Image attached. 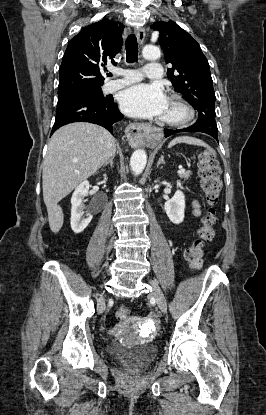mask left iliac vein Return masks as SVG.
I'll return each instance as SVG.
<instances>
[{"label":"left iliac vein","mask_w":266,"mask_h":415,"mask_svg":"<svg viewBox=\"0 0 266 415\" xmlns=\"http://www.w3.org/2000/svg\"><path fill=\"white\" fill-rule=\"evenodd\" d=\"M150 285L152 286V291H151V296L155 299L158 308L160 309L161 312L166 313L167 312V302L165 299V296L162 292V290L160 289V287L158 286V284L153 281L150 280L149 281Z\"/></svg>","instance_id":"1"}]
</instances>
